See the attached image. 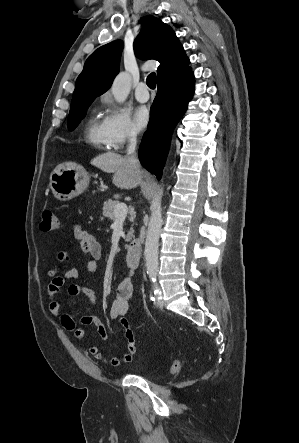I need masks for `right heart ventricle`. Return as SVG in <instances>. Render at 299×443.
Returning a JSON list of instances; mask_svg holds the SVG:
<instances>
[{
    "mask_svg": "<svg viewBox=\"0 0 299 443\" xmlns=\"http://www.w3.org/2000/svg\"><path fill=\"white\" fill-rule=\"evenodd\" d=\"M85 138L88 143L98 149H107L110 147L103 130V124L96 116L90 118L86 128Z\"/></svg>",
    "mask_w": 299,
    "mask_h": 443,
    "instance_id": "obj_1",
    "label": "right heart ventricle"
}]
</instances>
